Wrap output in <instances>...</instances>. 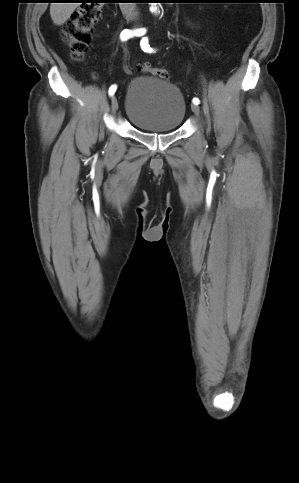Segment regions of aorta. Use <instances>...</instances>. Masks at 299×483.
Returning <instances> with one entry per match:
<instances>
[{
  "label": "aorta",
  "instance_id": "obj_1",
  "mask_svg": "<svg viewBox=\"0 0 299 483\" xmlns=\"http://www.w3.org/2000/svg\"><path fill=\"white\" fill-rule=\"evenodd\" d=\"M156 5H157V3H151V8H150V10H151L152 12H157V6H156Z\"/></svg>",
  "mask_w": 299,
  "mask_h": 483
}]
</instances>
